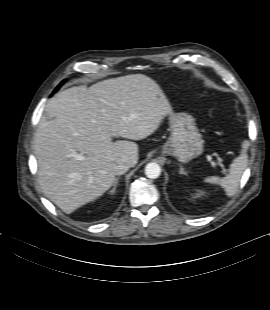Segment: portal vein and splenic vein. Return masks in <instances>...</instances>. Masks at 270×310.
Segmentation results:
<instances>
[{
  "label": "portal vein and splenic vein",
  "instance_id": "1",
  "mask_svg": "<svg viewBox=\"0 0 270 310\" xmlns=\"http://www.w3.org/2000/svg\"><path fill=\"white\" fill-rule=\"evenodd\" d=\"M75 157H76L78 160H82V159H83V157H82L81 155H75ZM211 164H212V166H215V165H216V162L213 161V160H211Z\"/></svg>",
  "mask_w": 270,
  "mask_h": 310
}]
</instances>
